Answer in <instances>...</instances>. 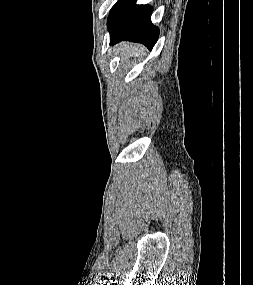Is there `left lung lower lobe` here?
<instances>
[{
  "label": "left lung lower lobe",
  "mask_w": 253,
  "mask_h": 285,
  "mask_svg": "<svg viewBox=\"0 0 253 285\" xmlns=\"http://www.w3.org/2000/svg\"><path fill=\"white\" fill-rule=\"evenodd\" d=\"M136 0H118L108 17L110 44L122 40L139 42L152 50L159 29L151 22L152 7L136 5Z\"/></svg>",
  "instance_id": "1"
}]
</instances>
